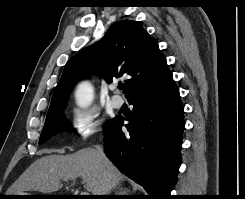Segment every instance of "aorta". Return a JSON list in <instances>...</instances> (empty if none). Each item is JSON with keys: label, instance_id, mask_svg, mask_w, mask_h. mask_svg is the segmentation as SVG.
Returning <instances> with one entry per match:
<instances>
[{"label": "aorta", "instance_id": "aorta-1", "mask_svg": "<svg viewBox=\"0 0 245 199\" xmlns=\"http://www.w3.org/2000/svg\"><path fill=\"white\" fill-rule=\"evenodd\" d=\"M93 98V88L88 82H83L76 91V101L80 107H88Z\"/></svg>", "mask_w": 245, "mask_h": 199}]
</instances>
